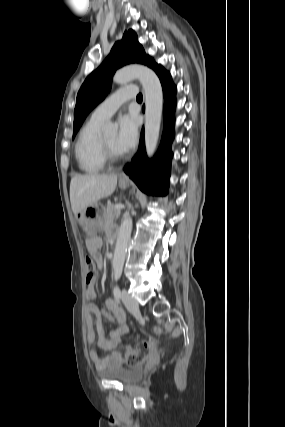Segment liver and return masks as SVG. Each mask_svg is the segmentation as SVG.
<instances>
[{
  "label": "liver",
  "instance_id": "obj_1",
  "mask_svg": "<svg viewBox=\"0 0 285 427\" xmlns=\"http://www.w3.org/2000/svg\"><path fill=\"white\" fill-rule=\"evenodd\" d=\"M117 185V175L86 174L76 175L70 182V201L77 216L86 208L111 195Z\"/></svg>",
  "mask_w": 285,
  "mask_h": 427
}]
</instances>
